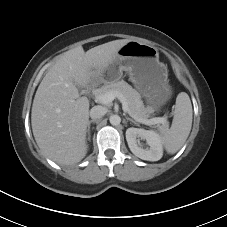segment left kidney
Segmentation results:
<instances>
[{"instance_id": "obj_1", "label": "left kidney", "mask_w": 227, "mask_h": 227, "mask_svg": "<svg viewBox=\"0 0 227 227\" xmlns=\"http://www.w3.org/2000/svg\"><path fill=\"white\" fill-rule=\"evenodd\" d=\"M137 138L146 140L149 148H141L138 145L139 141ZM126 140L135 156L147 161H158L162 158V137L159 133L153 130L131 127L126 130Z\"/></svg>"}]
</instances>
